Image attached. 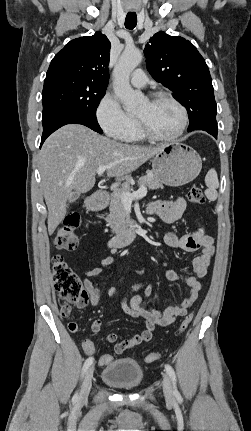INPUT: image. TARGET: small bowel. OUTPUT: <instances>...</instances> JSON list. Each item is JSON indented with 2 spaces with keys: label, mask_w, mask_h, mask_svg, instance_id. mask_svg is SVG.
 I'll return each mask as SVG.
<instances>
[{
  "label": "small bowel",
  "mask_w": 251,
  "mask_h": 431,
  "mask_svg": "<svg viewBox=\"0 0 251 431\" xmlns=\"http://www.w3.org/2000/svg\"><path fill=\"white\" fill-rule=\"evenodd\" d=\"M185 209L186 201L184 198L179 197L175 200L155 201L149 205L147 212L156 215L167 223H173L182 217ZM163 242L168 247L179 248L186 252H200L192 261L194 272L192 276L180 277L176 271L169 269L167 264L163 263L167 280L171 282L181 281L189 288V293L180 305L171 304L163 310H159L150 304L152 286L149 282L141 281L133 285L130 289L131 292L144 289L145 294L134 295L130 300L124 297L121 301V309L130 317L143 318L145 329L121 341H118L119 335L117 333L113 332L106 335L105 341L108 343H115V352L118 354L130 351L136 346L150 341L152 332L156 326H167L177 317L186 315L198 298V293L202 288L201 279L205 277L214 254L213 238L206 234L203 229L199 228L192 233L181 236L174 233H165L163 235ZM114 260V256L105 257L102 259L100 266L84 272L85 278L83 284L88 294L90 305L96 306L99 303L100 287L96 280L111 267ZM101 326V318L94 319L91 324L92 333L98 334L101 330ZM76 330L77 328L70 331L75 332Z\"/></svg>",
  "instance_id": "small-bowel-1"
}]
</instances>
